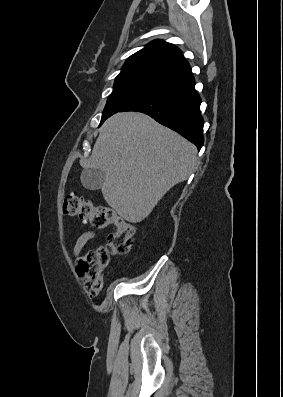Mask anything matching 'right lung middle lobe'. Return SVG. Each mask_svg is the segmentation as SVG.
I'll use <instances>...</instances> for the list:
<instances>
[{"mask_svg":"<svg viewBox=\"0 0 283 397\" xmlns=\"http://www.w3.org/2000/svg\"><path fill=\"white\" fill-rule=\"evenodd\" d=\"M167 85L169 84L166 81L152 78L142 72L119 74L115 79L113 91L108 97L100 125L133 102Z\"/></svg>","mask_w":283,"mask_h":397,"instance_id":"obj_1","label":"right lung middle lobe"}]
</instances>
